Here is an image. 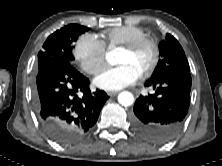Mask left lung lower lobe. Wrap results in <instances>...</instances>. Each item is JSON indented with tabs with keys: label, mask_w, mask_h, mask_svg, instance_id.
I'll return each mask as SVG.
<instances>
[{
	"label": "left lung lower lobe",
	"mask_w": 222,
	"mask_h": 166,
	"mask_svg": "<svg viewBox=\"0 0 222 166\" xmlns=\"http://www.w3.org/2000/svg\"><path fill=\"white\" fill-rule=\"evenodd\" d=\"M190 72H178L149 79L155 93L140 96L134 105L131 124L148 142L164 144L173 140L183 127L190 105Z\"/></svg>",
	"instance_id": "0a47b994"
}]
</instances>
